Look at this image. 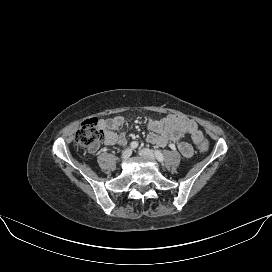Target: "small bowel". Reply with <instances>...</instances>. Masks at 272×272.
<instances>
[{"instance_id":"c3829d8e","label":"small bowel","mask_w":272,"mask_h":272,"mask_svg":"<svg viewBox=\"0 0 272 272\" xmlns=\"http://www.w3.org/2000/svg\"><path fill=\"white\" fill-rule=\"evenodd\" d=\"M123 116H114L112 118L99 120V126L104 132V143L108 146L120 145L127 143L125 133H119L118 130L124 123ZM148 126L150 133L147 141L158 146H166L169 142H174L181 155L185 158H190L193 155L192 146L183 140L185 136H190L194 144H199L203 141V132L198 128V125L192 119L180 115H169L163 119H149ZM99 148V143H95L88 148L90 152H95Z\"/></svg>"}]
</instances>
